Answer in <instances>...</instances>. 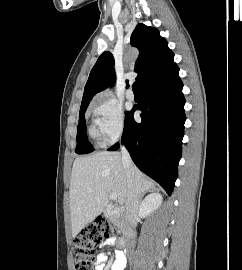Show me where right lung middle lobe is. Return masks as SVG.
Returning a JSON list of instances; mask_svg holds the SVG:
<instances>
[{
	"label": "right lung middle lobe",
	"mask_w": 242,
	"mask_h": 270,
	"mask_svg": "<svg viewBox=\"0 0 242 270\" xmlns=\"http://www.w3.org/2000/svg\"><path fill=\"white\" fill-rule=\"evenodd\" d=\"M86 111V108L80 109L79 112V124H78V132H77V147L75 152L77 154H86L93 151V147L90 145V143L87 140L86 137V124L84 119V113ZM129 114V112L125 113V118Z\"/></svg>",
	"instance_id": "right-lung-middle-lobe-1"
}]
</instances>
